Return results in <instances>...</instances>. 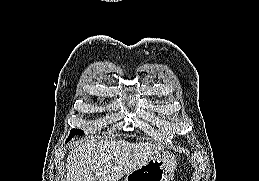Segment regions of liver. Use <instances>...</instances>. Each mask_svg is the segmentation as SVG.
I'll return each instance as SVG.
<instances>
[{"mask_svg": "<svg viewBox=\"0 0 259 181\" xmlns=\"http://www.w3.org/2000/svg\"><path fill=\"white\" fill-rule=\"evenodd\" d=\"M161 151L160 146L151 143L125 140L75 145L66 159V181H118Z\"/></svg>", "mask_w": 259, "mask_h": 181, "instance_id": "liver-1", "label": "liver"}]
</instances>
